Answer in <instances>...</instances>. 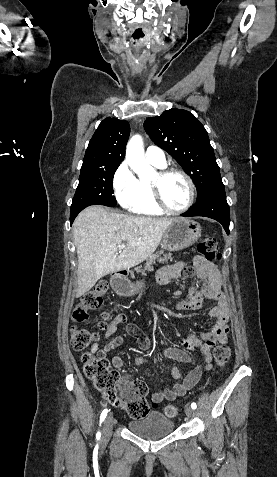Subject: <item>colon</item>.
Here are the masks:
<instances>
[{
    "label": "colon",
    "mask_w": 277,
    "mask_h": 477,
    "mask_svg": "<svg viewBox=\"0 0 277 477\" xmlns=\"http://www.w3.org/2000/svg\"><path fill=\"white\" fill-rule=\"evenodd\" d=\"M198 251L207 260L220 261L221 256L218 251V243L214 237H207L202 240L198 244ZM185 273L191 276L193 271L187 268ZM107 289V283L99 282L81 298L74 308L71 316L73 325L70 334L71 344L75 350H84L97 339L96 332L81 328L78 324L87 321L89 311L98 309L101 306ZM107 318L108 313H103L101 320L98 322L100 330L105 327ZM214 357L218 366H225L230 360L231 350L226 344H221L215 348ZM82 362L86 377L110 404L125 410L131 417L136 419L143 418L148 414L150 406L145 398L148 389L144 382L135 380L121 384L119 374L111 368L107 358L99 354L86 352L82 356ZM164 414L169 418H173L177 415V408L173 405H167L164 408Z\"/></svg>",
    "instance_id": "5ec220e1"
}]
</instances>
